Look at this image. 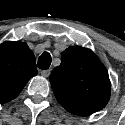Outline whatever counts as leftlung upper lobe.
Masks as SVG:
<instances>
[{
  "mask_svg": "<svg viewBox=\"0 0 125 125\" xmlns=\"http://www.w3.org/2000/svg\"><path fill=\"white\" fill-rule=\"evenodd\" d=\"M58 102L70 113L87 116L103 109L111 94L105 66L92 50L70 46L49 77Z\"/></svg>",
  "mask_w": 125,
  "mask_h": 125,
  "instance_id": "1",
  "label": "left lung upper lobe"
}]
</instances>
